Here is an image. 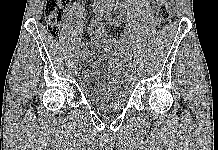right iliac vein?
<instances>
[{
	"instance_id": "63e3f726",
	"label": "right iliac vein",
	"mask_w": 218,
	"mask_h": 150,
	"mask_svg": "<svg viewBox=\"0 0 218 150\" xmlns=\"http://www.w3.org/2000/svg\"><path fill=\"white\" fill-rule=\"evenodd\" d=\"M81 56H82V55H80V60H79V62H78V65H79V66H80V64H81Z\"/></svg>"
}]
</instances>
